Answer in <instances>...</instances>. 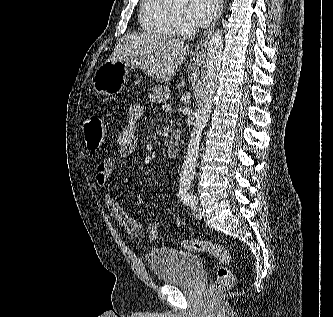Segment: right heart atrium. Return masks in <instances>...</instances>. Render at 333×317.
Returning <instances> with one entry per match:
<instances>
[{"label":"right heart atrium","instance_id":"obj_1","mask_svg":"<svg viewBox=\"0 0 333 317\" xmlns=\"http://www.w3.org/2000/svg\"><path fill=\"white\" fill-rule=\"evenodd\" d=\"M178 29L181 31H187L188 30V26L182 22V21H178Z\"/></svg>","mask_w":333,"mask_h":317}]
</instances>
